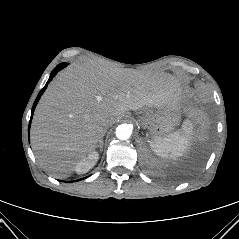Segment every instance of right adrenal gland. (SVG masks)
<instances>
[{"mask_svg":"<svg viewBox=\"0 0 239 239\" xmlns=\"http://www.w3.org/2000/svg\"><path fill=\"white\" fill-rule=\"evenodd\" d=\"M97 147L100 148V152L103 150V139L99 141V144L97 145Z\"/></svg>","mask_w":239,"mask_h":239,"instance_id":"right-adrenal-gland-1","label":"right adrenal gland"}]
</instances>
